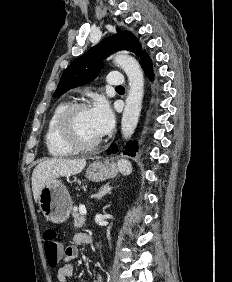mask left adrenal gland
<instances>
[{
    "label": "left adrenal gland",
    "instance_id": "obj_1",
    "mask_svg": "<svg viewBox=\"0 0 232 282\" xmlns=\"http://www.w3.org/2000/svg\"><path fill=\"white\" fill-rule=\"evenodd\" d=\"M110 183H106L105 185H103L98 193L96 194L95 198L97 199H101L102 197H104L107 193H110V191L112 190V187H110L109 185Z\"/></svg>",
    "mask_w": 232,
    "mask_h": 282
}]
</instances>
